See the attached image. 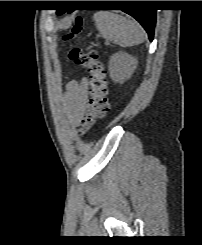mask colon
<instances>
[{
	"instance_id": "colon-1",
	"label": "colon",
	"mask_w": 202,
	"mask_h": 245,
	"mask_svg": "<svg viewBox=\"0 0 202 245\" xmlns=\"http://www.w3.org/2000/svg\"><path fill=\"white\" fill-rule=\"evenodd\" d=\"M82 30V21L76 19L68 39L79 34ZM69 60L78 68L84 70L88 77L87 101L82 117V129L93 127L102 120L109 109V84L106 77L104 63L94 50H81L71 47L68 50Z\"/></svg>"
}]
</instances>
